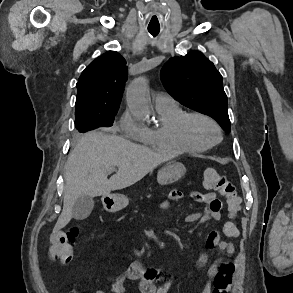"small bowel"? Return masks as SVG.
I'll return each instance as SVG.
<instances>
[{
  "mask_svg": "<svg viewBox=\"0 0 293 293\" xmlns=\"http://www.w3.org/2000/svg\"><path fill=\"white\" fill-rule=\"evenodd\" d=\"M184 194L180 190H173L169 195V200L162 201L158 205V209L167 210L170 208V201H179ZM191 198L197 202L205 204L203 212L189 213L184 217V221L192 224L187 230L192 233L195 228L206 221H217L221 218V202L217 198L214 191L201 193L194 191L190 194ZM207 248H218L226 254H233L235 246L231 241L223 240L218 231H211L206 240ZM208 262V254H202L198 259V265L204 266ZM218 271V264L214 263L208 268L209 280L206 281L201 293H212L213 281L212 279ZM164 273L160 270L144 266L140 261H133L125 272L117 273L113 276L109 289H98L95 293H128L124 281L126 279L137 283V290L139 293H170L171 286L168 283L159 285L163 280ZM73 293H80L78 289H74Z\"/></svg>",
  "mask_w": 293,
  "mask_h": 293,
  "instance_id": "obj_1",
  "label": "small bowel"
}]
</instances>
